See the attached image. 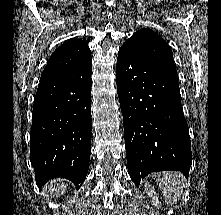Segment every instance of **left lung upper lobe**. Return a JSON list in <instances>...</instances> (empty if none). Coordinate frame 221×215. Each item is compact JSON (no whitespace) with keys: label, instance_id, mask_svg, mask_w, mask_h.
I'll use <instances>...</instances> for the list:
<instances>
[{"label":"left lung upper lobe","instance_id":"left-lung-upper-lobe-1","mask_svg":"<svg viewBox=\"0 0 221 215\" xmlns=\"http://www.w3.org/2000/svg\"><path fill=\"white\" fill-rule=\"evenodd\" d=\"M124 45L131 47L154 65L178 77L169 45L152 30H138L130 39L125 41Z\"/></svg>","mask_w":221,"mask_h":215}]
</instances>
